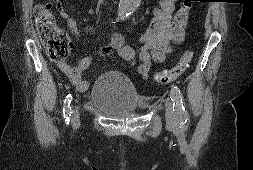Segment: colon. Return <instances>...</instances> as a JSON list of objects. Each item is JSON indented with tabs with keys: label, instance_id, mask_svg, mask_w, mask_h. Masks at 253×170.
Masks as SVG:
<instances>
[{
	"label": "colon",
	"instance_id": "1",
	"mask_svg": "<svg viewBox=\"0 0 253 170\" xmlns=\"http://www.w3.org/2000/svg\"><path fill=\"white\" fill-rule=\"evenodd\" d=\"M193 1L195 0H184L178 10L176 15L181 22H186ZM51 8V3L37 5L35 23L48 57L53 61H63L69 56L72 43L67 33L57 26ZM190 57L191 54L187 52L172 68L158 72L155 75L156 82L166 84L175 81L188 68Z\"/></svg>",
	"mask_w": 253,
	"mask_h": 170
}]
</instances>
